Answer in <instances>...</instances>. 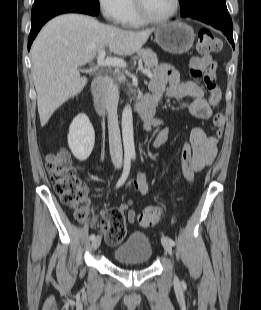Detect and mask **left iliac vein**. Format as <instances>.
Returning <instances> with one entry per match:
<instances>
[{
    "instance_id": "1",
    "label": "left iliac vein",
    "mask_w": 261,
    "mask_h": 310,
    "mask_svg": "<svg viewBox=\"0 0 261 310\" xmlns=\"http://www.w3.org/2000/svg\"><path fill=\"white\" fill-rule=\"evenodd\" d=\"M161 243H162V246L164 247L165 251H166L169 255H172V254H173L172 245L170 244L168 238H167V237H162V238H161Z\"/></svg>"
}]
</instances>
